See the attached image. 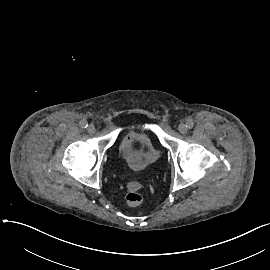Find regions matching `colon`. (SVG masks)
Here are the masks:
<instances>
[{"label":"colon","instance_id":"colon-1","mask_svg":"<svg viewBox=\"0 0 270 270\" xmlns=\"http://www.w3.org/2000/svg\"><path fill=\"white\" fill-rule=\"evenodd\" d=\"M125 200L129 205L136 206L142 203L143 197L139 191L129 189L125 194Z\"/></svg>","mask_w":270,"mask_h":270}]
</instances>
